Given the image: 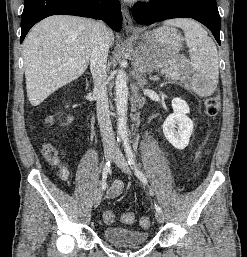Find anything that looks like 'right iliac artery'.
<instances>
[{
    "mask_svg": "<svg viewBox=\"0 0 247 257\" xmlns=\"http://www.w3.org/2000/svg\"><path fill=\"white\" fill-rule=\"evenodd\" d=\"M119 141V140H118ZM111 160L107 161L104 168H103V173H102V187L101 189L102 190H105L106 187H107V184H106V179H107V175L111 169Z\"/></svg>",
    "mask_w": 247,
    "mask_h": 257,
    "instance_id": "1",
    "label": "right iliac artery"
}]
</instances>
